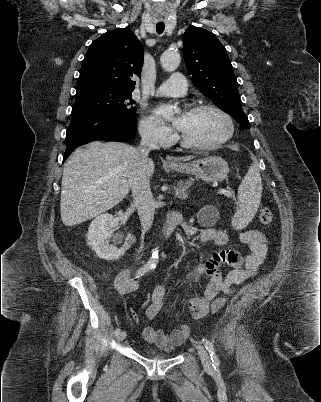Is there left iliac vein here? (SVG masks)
Listing matches in <instances>:
<instances>
[{
  "instance_id": "4c4485c4",
  "label": "left iliac vein",
  "mask_w": 321,
  "mask_h": 402,
  "mask_svg": "<svg viewBox=\"0 0 321 402\" xmlns=\"http://www.w3.org/2000/svg\"><path fill=\"white\" fill-rule=\"evenodd\" d=\"M198 349V354L199 357L202 361V364L206 367V368H210L212 366V362L210 360V357L206 351V349L203 347V345L199 344L197 346Z\"/></svg>"
}]
</instances>
